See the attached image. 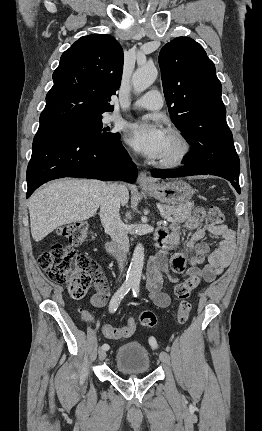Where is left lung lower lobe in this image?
<instances>
[{
    "mask_svg": "<svg viewBox=\"0 0 262 431\" xmlns=\"http://www.w3.org/2000/svg\"><path fill=\"white\" fill-rule=\"evenodd\" d=\"M225 167L226 172H219L217 174L211 173L208 171H205L203 169L194 168L186 165L185 167H182L177 170H161V169H153L151 171V174L153 177L156 178H172V177H182V176H193V175H217L220 177H223L230 181L233 185V187L237 190L238 193H240V186H239V171H240V164L235 165L233 163H226ZM234 174V175H232Z\"/></svg>",
    "mask_w": 262,
    "mask_h": 431,
    "instance_id": "obj_1",
    "label": "left lung lower lobe"
}]
</instances>
